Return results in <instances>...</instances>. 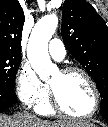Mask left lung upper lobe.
Returning <instances> with one entry per match:
<instances>
[{
    "instance_id": "left-lung-upper-lobe-1",
    "label": "left lung upper lobe",
    "mask_w": 108,
    "mask_h": 127,
    "mask_svg": "<svg viewBox=\"0 0 108 127\" xmlns=\"http://www.w3.org/2000/svg\"><path fill=\"white\" fill-rule=\"evenodd\" d=\"M61 34L69 53L97 85L101 115H108V27L105 21L88 2L65 0Z\"/></svg>"
}]
</instances>
